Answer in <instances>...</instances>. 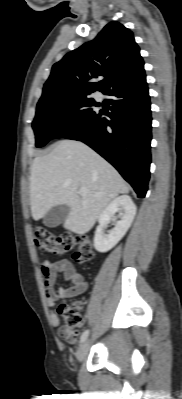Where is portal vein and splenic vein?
<instances>
[{
    "label": "portal vein and splenic vein",
    "mask_w": 182,
    "mask_h": 399,
    "mask_svg": "<svg viewBox=\"0 0 182 399\" xmlns=\"http://www.w3.org/2000/svg\"><path fill=\"white\" fill-rule=\"evenodd\" d=\"M79 193H80L81 195H86V194H87V189L84 188V187H81V188L79 189Z\"/></svg>",
    "instance_id": "obj_1"
}]
</instances>
